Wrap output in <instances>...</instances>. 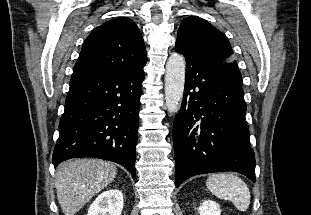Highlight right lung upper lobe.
I'll list each match as a JSON object with an SVG mask.
<instances>
[{"label":"right lung upper lobe","instance_id":"obj_1","mask_svg":"<svg viewBox=\"0 0 311 215\" xmlns=\"http://www.w3.org/2000/svg\"><path fill=\"white\" fill-rule=\"evenodd\" d=\"M147 62L146 48L138 26L128 17L109 20L86 38L73 73L129 74Z\"/></svg>","mask_w":311,"mask_h":215}]
</instances>
